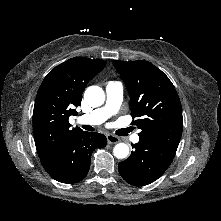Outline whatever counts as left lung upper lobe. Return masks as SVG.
<instances>
[{"instance_id":"1","label":"left lung upper lobe","mask_w":221,"mask_h":221,"mask_svg":"<svg viewBox=\"0 0 221 221\" xmlns=\"http://www.w3.org/2000/svg\"><path fill=\"white\" fill-rule=\"evenodd\" d=\"M130 95L131 115L141 138L174 148L182 129V107L169 78L148 61H113Z\"/></svg>"}]
</instances>
